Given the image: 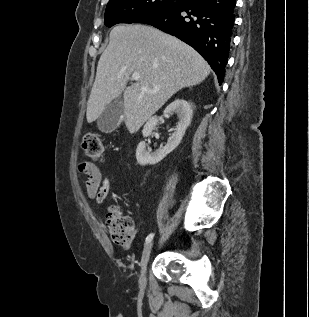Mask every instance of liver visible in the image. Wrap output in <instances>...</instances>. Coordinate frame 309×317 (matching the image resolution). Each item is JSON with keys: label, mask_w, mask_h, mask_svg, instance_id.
Wrapping results in <instances>:
<instances>
[{"label": "liver", "mask_w": 309, "mask_h": 317, "mask_svg": "<svg viewBox=\"0 0 309 317\" xmlns=\"http://www.w3.org/2000/svg\"><path fill=\"white\" fill-rule=\"evenodd\" d=\"M133 73L140 79L127 87ZM207 62L176 37L147 25H118L102 53L87 102L86 118L94 122L123 93V120L136 133L176 92L203 82ZM157 92H144L142 87Z\"/></svg>", "instance_id": "6515ba94"}]
</instances>
